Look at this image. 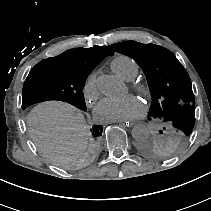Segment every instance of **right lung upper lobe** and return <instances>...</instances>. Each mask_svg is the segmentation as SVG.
Wrapping results in <instances>:
<instances>
[{
	"mask_svg": "<svg viewBox=\"0 0 211 211\" xmlns=\"http://www.w3.org/2000/svg\"><path fill=\"white\" fill-rule=\"evenodd\" d=\"M113 54L114 52L106 46H95L89 49L77 48L67 50L53 58L74 60L87 64H99L106 56H112Z\"/></svg>",
	"mask_w": 211,
	"mask_h": 211,
	"instance_id": "obj_1",
	"label": "right lung upper lobe"
}]
</instances>
